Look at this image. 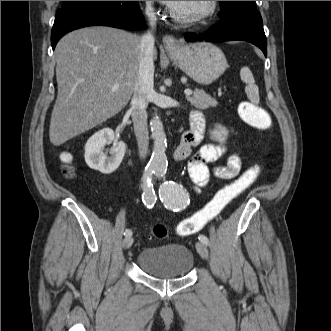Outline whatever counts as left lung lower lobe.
I'll return each mask as SVG.
<instances>
[{"mask_svg": "<svg viewBox=\"0 0 331 331\" xmlns=\"http://www.w3.org/2000/svg\"><path fill=\"white\" fill-rule=\"evenodd\" d=\"M188 42L195 41H248L259 47L267 56V41L263 21L258 11L234 14L221 20L203 34L186 33Z\"/></svg>", "mask_w": 331, "mask_h": 331, "instance_id": "left-lung-lower-lobe-1", "label": "left lung lower lobe"}]
</instances>
